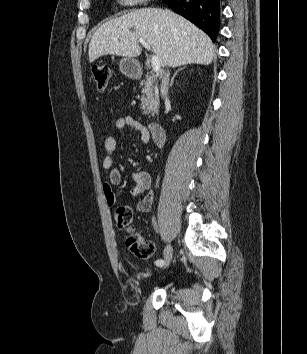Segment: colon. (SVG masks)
<instances>
[{
	"label": "colon",
	"mask_w": 307,
	"mask_h": 354,
	"mask_svg": "<svg viewBox=\"0 0 307 354\" xmlns=\"http://www.w3.org/2000/svg\"><path fill=\"white\" fill-rule=\"evenodd\" d=\"M111 70L107 65H95L92 67V76L98 89L103 90L107 87ZM132 209L128 206H120L115 209L114 221L118 228L127 230L129 235L126 239L127 248L137 257L148 259L155 252L154 244L133 232Z\"/></svg>",
	"instance_id": "5ec220e1"
}]
</instances>
